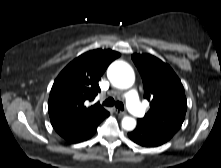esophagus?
<instances>
[{"label":"esophagus","instance_id":"34e87169","mask_svg":"<svg viewBox=\"0 0 221 168\" xmlns=\"http://www.w3.org/2000/svg\"><path fill=\"white\" fill-rule=\"evenodd\" d=\"M115 113L119 116H125L126 115V112L125 111H122L120 109H115Z\"/></svg>","mask_w":221,"mask_h":168}]
</instances>
